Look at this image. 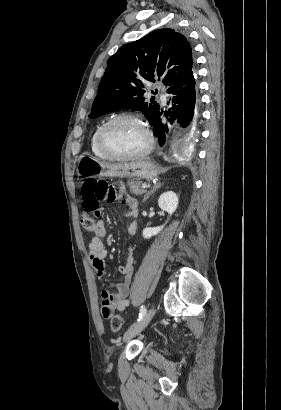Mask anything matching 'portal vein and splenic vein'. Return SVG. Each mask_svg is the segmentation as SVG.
I'll return each instance as SVG.
<instances>
[{
	"label": "portal vein and splenic vein",
	"mask_w": 281,
	"mask_h": 410,
	"mask_svg": "<svg viewBox=\"0 0 281 410\" xmlns=\"http://www.w3.org/2000/svg\"><path fill=\"white\" fill-rule=\"evenodd\" d=\"M148 187H149V186H148L146 183H143V184H142V188H143V189H146V188H148Z\"/></svg>",
	"instance_id": "1"
}]
</instances>
